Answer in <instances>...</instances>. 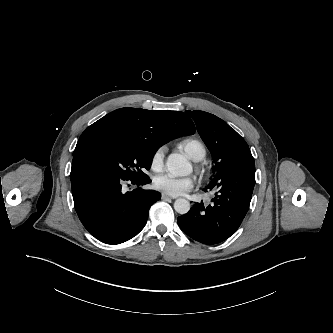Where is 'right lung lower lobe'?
I'll use <instances>...</instances> for the list:
<instances>
[{"instance_id": "98d812e1", "label": "right lung lower lobe", "mask_w": 333, "mask_h": 333, "mask_svg": "<svg viewBox=\"0 0 333 333\" xmlns=\"http://www.w3.org/2000/svg\"><path fill=\"white\" fill-rule=\"evenodd\" d=\"M70 179L80 221L91 235L107 244H120L137 235L146 225L150 207L160 198L159 192L139 187L149 183V177H119L80 156L73 158ZM126 183L138 188L123 193Z\"/></svg>"}]
</instances>
